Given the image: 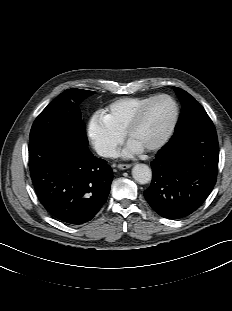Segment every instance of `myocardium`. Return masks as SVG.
I'll return each instance as SVG.
<instances>
[{
    "mask_svg": "<svg viewBox=\"0 0 232 311\" xmlns=\"http://www.w3.org/2000/svg\"><path fill=\"white\" fill-rule=\"evenodd\" d=\"M161 99H166V100L171 102V104L173 106V116H172L171 122H170L169 126L167 127L166 131L159 138V140H157L154 144H152L149 147L144 149L146 152H152V151L158 150L161 147H163L167 143V141L170 139L171 135L174 132V129H175L176 124L178 122L179 108H178L176 101L171 96L166 95V94H160V95H156V96L151 97L148 101H146L143 105H141L138 108V110L135 112L134 116L132 117V119L128 123V125L125 128L124 133H123L125 138L129 140L131 133L139 125V123L142 121V119H143L147 109L149 108V106L152 103H154L155 101L161 100Z\"/></svg>",
    "mask_w": 232,
    "mask_h": 311,
    "instance_id": "obj_1",
    "label": "myocardium"
}]
</instances>
